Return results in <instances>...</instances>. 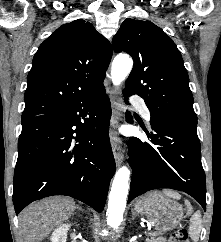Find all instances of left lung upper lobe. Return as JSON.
I'll return each instance as SVG.
<instances>
[{"instance_id": "left-lung-upper-lobe-1", "label": "left lung upper lobe", "mask_w": 221, "mask_h": 242, "mask_svg": "<svg viewBox=\"0 0 221 242\" xmlns=\"http://www.w3.org/2000/svg\"><path fill=\"white\" fill-rule=\"evenodd\" d=\"M134 60L124 91L144 98L151 118L197 126L189 77L175 43L150 21L127 18L113 38Z\"/></svg>"}]
</instances>
